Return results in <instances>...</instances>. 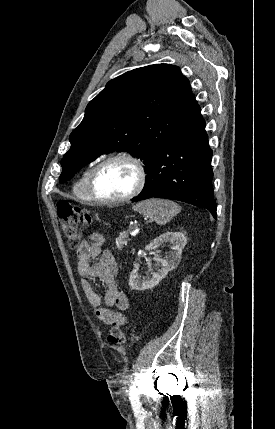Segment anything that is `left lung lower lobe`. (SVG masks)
Here are the masks:
<instances>
[{
  "mask_svg": "<svg viewBox=\"0 0 275 429\" xmlns=\"http://www.w3.org/2000/svg\"><path fill=\"white\" fill-rule=\"evenodd\" d=\"M212 150L195 98L174 131L153 157L142 192L132 202L159 197L208 209L216 218Z\"/></svg>",
  "mask_w": 275,
  "mask_h": 429,
  "instance_id": "1",
  "label": "left lung lower lobe"
}]
</instances>
